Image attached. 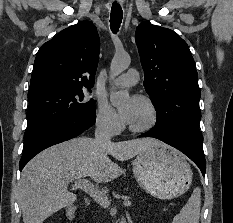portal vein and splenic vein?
<instances>
[{"label": "portal vein and splenic vein", "mask_w": 233, "mask_h": 223, "mask_svg": "<svg viewBox=\"0 0 233 223\" xmlns=\"http://www.w3.org/2000/svg\"><path fill=\"white\" fill-rule=\"evenodd\" d=\"M74 187H80V189H87L90 197L94 199V201H97L99 205H104V207H107L109 205L110 201L106 195V193H103V191H99V189H96L95 185L91 183L90 179H74ZM123 206H131V201H123Z\"/></svg>", "instance_id": "obj_1"}]
</instances>
